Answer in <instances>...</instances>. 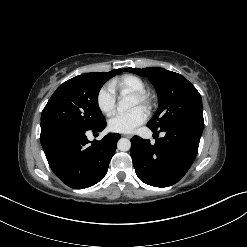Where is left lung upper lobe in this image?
Returning <instances> with one entry per match:
<instances>
[{"mask_svg":"<svg viewBox=\"0 0 247 247\" xmlns=\"http://www.w3.org/2000/svg\"><path fill=\"white\" fill-rule=\"evenodd\" d=\"M124 71L148 77L157 90L159 108L148 122L150 126L161 128L178 121L204 126L201 96L182 75L159 67Z\"/></svg>","mask_w":247,"mask_h":247,"instance_id":"5c2ea615","label":"left lung upper lobe"}]
</instances>
